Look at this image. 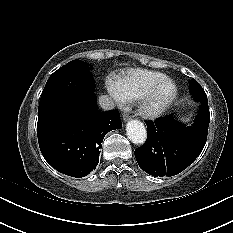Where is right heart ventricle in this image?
<instances>
[{
  "instance_id": "e07e8e85",
  "label": "right heart ventricle",
  "mask_w": 233,
  "mask_h": 233,
  "mask_svg": "<svg viewBox=\"0 0 233 233\" xmlns=\"http://www.w3.org/2000/svg\"><path fill=\"white\" fill-rule=\"evenodd\" d=\"M164 78L166 75L160 72L135 69L118 77L114 82V88L122 99L137 100Z\"/></svg>"
}]
</instances>
